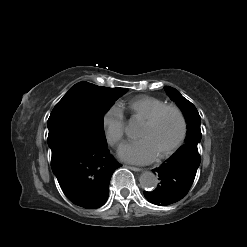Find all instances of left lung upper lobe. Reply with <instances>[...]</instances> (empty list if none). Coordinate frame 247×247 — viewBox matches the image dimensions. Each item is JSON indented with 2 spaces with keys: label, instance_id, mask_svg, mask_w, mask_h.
<instances>
[{
  "label": "left lung upper lobe",
  "instance_id": "5c2ea615",
  "mask_svg": "<svg viewBox=\"0 0 247 247\" xmlns=\"http://www.w3.org/2000/svg\"><path fill=\"white\" fill-rule=\"evenodd\" d=\"M164 89L166 90L169 97L177 103V105L184 113L188 129L186 143L198 144L202 135L200 129L201 118L196 107L186 98H184L178 90L169 86H165Z\"/></svg>",
  "mask_w": 247,
  "mask_h": 247
}]
</instances>
